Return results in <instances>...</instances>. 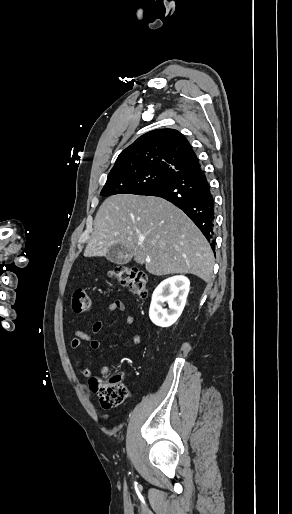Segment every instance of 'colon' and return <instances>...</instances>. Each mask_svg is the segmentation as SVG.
I'll use <instances>...</instances> for the list:
<instances>
[{
  "instance_id": "5ec220e1",
  "label": "colon",
  "mask_w": 292,
  "mask_h": 514,
  "mask_svg": "<svg viewBox=\"0 0 292 514\" xmlns=\"http://www.w3.org/2000/svg\"><path fill=\"white\" fill-rule=\"evenodd\" d=\"M139 265L113 267L109 276L119 285H127L131 292L140 297L147 296V277L140 272ZM75 313H86L90 308L89 297L83 288H76L72 299ZM91 389L95 393L100 406L104 409L121 404L127 397V389L121 382V377L110 373L102 377H93ZM107 416L106 414L104 415Z\"/></svg>"
}]
</instances>
